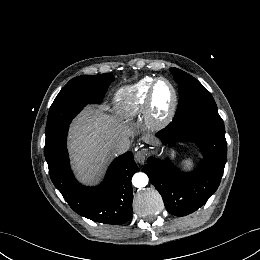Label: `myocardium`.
I'll use <instances>...</instances> for the list:
<instances>
[{
	"label": "myocardium",
	"instance_id": "f54148a6",
	"mask_svg": "<svg viewBox=\"0 0 260 260\" xmlns=\"http://www.w3.org/2000/svg\"><path fill=\"white\" fill-rule=\"evenodd\" d=\"M159 82L166 83L173 95V100L168 113L164 116H159L154 107V96L156 87ZM179 103L178 92L173 83L164 77H158L154 80L147 94L145 106H144V118L147 126L152 130H162L167 127L174 119Z\"/></svg>",
	"mask_w": 260,
	"mask_h": 260
}]
</instances>
